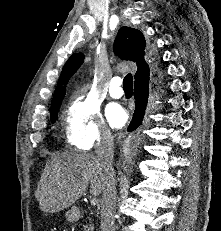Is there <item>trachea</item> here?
Here are the masks:
<instances>
[{"instance_id":"obj_1","label":"trachea","mask_w":221,"mask_h":231,"mask_svg":"<svg viewBox=\"0 0 221 231\" xmlns=\"http://www.w3.org/2000/svg\"><path fill=\"white\" fill-rule=\"evenodd\" d=\"M123 89L124 91L133 90V77L132 74H127L123 80Z\"/></svg>"}]
</instances>
